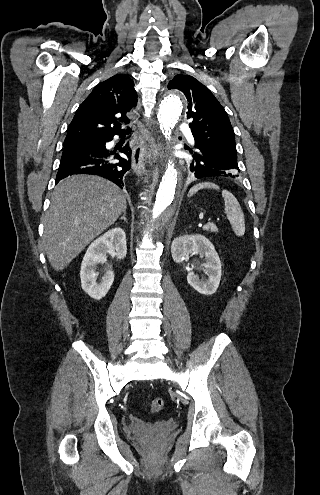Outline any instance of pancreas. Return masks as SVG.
Here are the masks:
<instances>
[{"label":"pancreas","mask_w":320,"mask_h":495,"mask_svg":"<svg viewBox=\"0 0 320 495\" xmlns=\"http://www.w3.org/2000/svg\"><path fill=\"white\" fill-rule=\"evenodd\" d=\"M203 229L205 231H210V232H214V233H217L218 232V228L217 226L214 224V223H207Z\"/></svg>","instance_id":"obj_1"}]
</instances>
